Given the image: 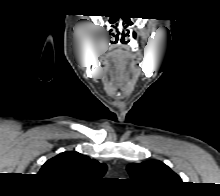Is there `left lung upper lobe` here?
Listing matches in <instances>:
<instances>
[{"instance_id": "5c2ea615", "label": "left lung upper lobe", "mask_w": 220, "mask_h": 196, "mask_svg": "<svg viewBox=\"0 0 220 196\" xmlns=\"http://www.w3.org/2000/svg\"><path fill=\"white\" fill-rule=\"evenodd\" d=\"M132 179L142 185L172 188L182 183L181 178L161 161L150 160L127 167Z\"/></svg>"}]
</instances>
